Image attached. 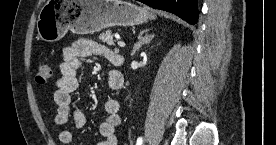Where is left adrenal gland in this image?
<instances>
[{
  "label": "left adrenal gland",
  "mask_w": 276,
  "mask_h": 145,
  "mask_svg": "<svg viewBox=\"0 0 276 145\" xmlns=\"http://www.w3.org/2000/svg\"><path fill=\"white\" fill-rule=\"evenodd\" d=\"M148 31H149V29H146V30H143L140 32V34L138 36L139 41L134 45L132 55H134L135 52L142 47V45L150 43V41L153 39L154 35L146 34L145 36H143L144 33H147Z\"/></svg>",
  "instance_id": "a2214340"
}]
</instances>
